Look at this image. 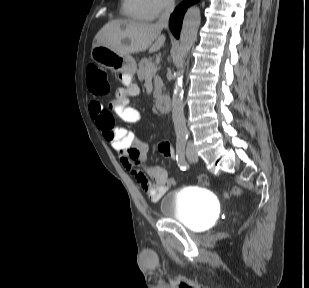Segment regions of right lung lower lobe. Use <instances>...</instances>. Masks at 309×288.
Listing matches in <instances>:
<instances>
[{"label": "right lung lower lobe", "instance_id": "right-lung-lower-lobe-1", "mask_svg": "<svg viewBox=\"0 0 309 288\" xmlns=\"http://www.w3.org/2000/svg\"><path fill=\"white\" fill-rule=\"evenodd\" d=\"M199 0H184V2L177 8L171 16L169 27L176 38H179L180 35V27L182 23L183 15L186 11V8L189 5H192Z\"/></svg>", "mask_w": 309, "mask_h": 288}]
</instances>
